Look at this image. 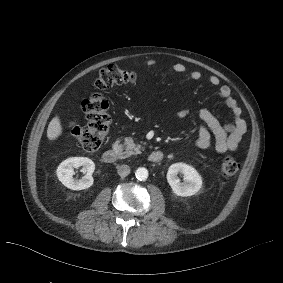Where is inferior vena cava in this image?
Returning a JSON list of instances; mask_svg holds the SVG:
<instances>
[{"instance_id":"1","label":"inferior vena cava","mask_w":283,"mask_h":283,"mask_svg":"<svg viewBox=\"0 0 283 283\" xmlns=\"http://www.w3.org/2000/svg\"><path fill=\"white\" fill-rule=\"evenodd\" d=\"M117 171L120 176L125 177L130 174V167L128 165H121Z\"/></svg>"}]
</instances>
